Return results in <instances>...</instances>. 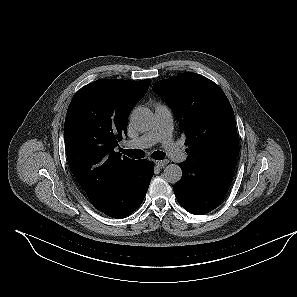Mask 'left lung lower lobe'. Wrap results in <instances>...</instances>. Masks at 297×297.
<instances>
[{
	"label": "left lung lower lobe",
	"mask_w": 297,
	"mask_h": 297,
	"mask_svg": "<svg viewBox=\"0 0 297 297\" xmlns=\"http://www.w3.org/2000/svg\"><path fill=\"white\" fill-rule=\"evenodd\" d=\"M179 166L182 179L173 187L179 204L194 215H204L217 208L229 190L234 170L198 173L185 163Z\"/></svg>",
	"instance_id": "left-lung-lower-lobe-1"
}]
</instances>
